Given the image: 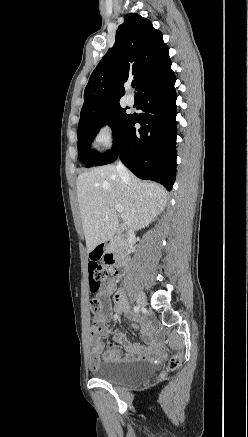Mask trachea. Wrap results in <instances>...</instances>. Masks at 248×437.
<instances>
[{
  "mask_svg": "<svg viewBox=\"0 0 248 437\" xmlns=\"http://www.w3.org/2000/svg\"><path fill=\"white\" fill-rule=\"evenodd\" d=\"M136 85L135 81L132 82V87L134 88Z\"/></svg>",
  "mask_w": 248,
  "mask_h": 437,
  "instance_id": "trachea-1",
  "label": "trachea"
}]
</instances>
